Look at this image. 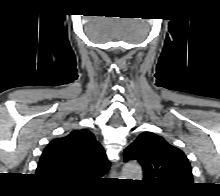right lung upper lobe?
Instances as JSON below:
<instances>
[{
  "label": "right lung upper lobe",
  "mask_w": 220,
  "mask_h": 196,
  "mask_svg": "<svg viewBox=\"0 0 220 196\" xmlns=\"http://www.w3.org/2000/svg\"><path fill=\"white\" fill-rule=\"evenodd\" d=\"M109 168L101 144L89 130L81 129L51 141L36 174L54 185L78 186L101 177Z\"/></svg>",
  "instance_id": "1"
}]
</instances>
